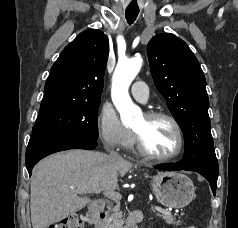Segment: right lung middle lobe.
<instances>
[{
    "label": "right lung middle lobe",
    "mask_w": 238,
    "mask_h": 228,
    "mask_svg": "<svg viewBox=\"0 0 238 228\" xmlns=\"http://www.w3.org/2000/svg\"><path fill=\"white\" fill-rule=\"evenodd\" d=\"M100 102L81 103L40 115L32 134H79L98 138V108Z\"/></svg>",
    "instance_id": "obj_1"
}]
</instances>
